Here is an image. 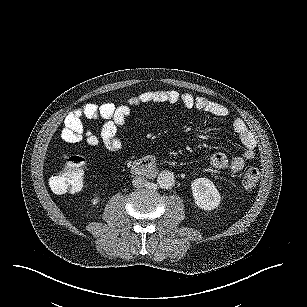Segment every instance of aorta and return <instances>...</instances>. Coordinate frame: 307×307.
I'll return each mask as SVG.
<instances>
[{
	"instance_id": "aorta-1",
	"label": "aorta",
	"mask_w": 307,
	"mask_h": 307,
	"mask_svg": "<svg viewBox=\"0 0 307 307\" xmlns=\"http://www.w3.org/2000/svg\"><path fill=\"white\" fill-rule=\"evenodd\" d=\"M157 184L161 189H171L175 184V177L173 172L163 170L157 177Z\"/></svg>"
}]
</instances>
